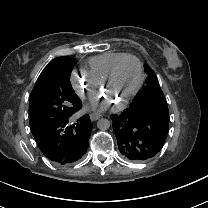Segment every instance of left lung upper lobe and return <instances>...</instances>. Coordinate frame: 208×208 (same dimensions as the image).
Segmentation results:
<instances>
[{"label": "left lung upper lobe", "instance_id": "5c2ea615", "mask_svg": "<svg viewBox=\"0 0 208 208\" xmlns=\"http://www.w3.org/2000/svg\"><path fill=\"white\" fill-rule=\"evenodd\" d=\"M145 71L148 74L146 86L126 110L138 114H150L169 121L167 103L160 88L158 79L148 65L145 66Z\"/></svg>", "mask_w": 208, "mask_h": 208}]
</instances>
